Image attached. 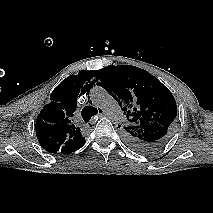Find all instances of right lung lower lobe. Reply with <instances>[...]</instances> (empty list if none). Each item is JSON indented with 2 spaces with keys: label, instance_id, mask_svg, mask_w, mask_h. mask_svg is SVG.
Here are the masks:
<instances>
[{
  "label": "right lung lower lobe",
  "instance_id": "98d812e1",
  "mask_svg": "<svg viewBox=\"0 0 213 213\" xmlns=\"http://www.w3.org/2000/svg\"><path fill=\"white\" fill-rule=\"evenodd\" d=\"M84 144H85V141H84V143H83L79 148H81ZM79 148H78V149H79ZM78 149H77V150H78Z\"/></svg>",
  "mask_w": 213,
  "mask_h": 213
}]
</instances>
